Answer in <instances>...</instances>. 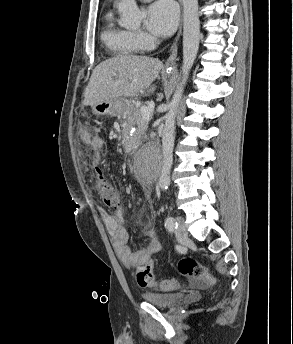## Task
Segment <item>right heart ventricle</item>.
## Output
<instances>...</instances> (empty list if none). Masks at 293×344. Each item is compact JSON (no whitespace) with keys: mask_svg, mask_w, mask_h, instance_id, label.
Listing matches in <instances>:
<instances>
[{"mask_svg":"<svg viewBox=\"0 0 293 344\" xmlns=\"http://www.w3.org/2000/svg\"><path fill=\"white\" fill-rule=\"evenodd\" d=\"M101 38L106 47L115 55L135 56L140 53L141 49L134 42L132 31L119 26L111 10H108L104 16Z\"/></svg>","mask_w":293,"mask_h":344,"instance_id":"e07e8e85","label":"right heart ventricle"}]
</instances>
